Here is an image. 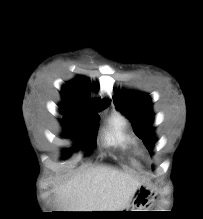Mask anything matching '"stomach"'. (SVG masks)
Here are the masks:
<instances>
[{
  "mask_svg": "<svg viewBox=\"0 0 203 219\" xmlns=\"http://www.w3.org/2000/svg\"><path fill=\"white\" fill-rule=\"evenodd\" d=\"M146 191H147V188H146ZM143 196H144V197H147V198H146V202H148V203L151 201V199H153L152 193L149 194V195L145 193ZM139 207H140V208H144L142 205H140ZM128 211H129V210H128ZM132 211H142V210H132Z\"/></svg>",
  "mask_w": 203,
  "mask_h": 219,
  "instance_id": "1",
  "label": "stomach"
}]
</instances>
